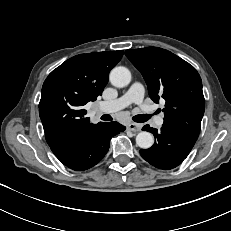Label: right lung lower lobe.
I'll return each mask as SVG.
<instances>
[{
	"mask_svg": "<svg viewBox=\"0 0 231 231\" xmlns=\"http://www.w3.org/2000/svg\"><path fill=\"white\" fill-rule=\"evenodd\" d=\"M124 130L125 127L117 122H102L75 139L58 159L75 171L89 169L105 156L110 138Z\"/></svg>",
	"mask_w": 231,
	"mask_h": 231,
	"instance_id": "right-lung-lower-lobe-1",
	"label": "right lung lower lobe"
}]
</instances>
